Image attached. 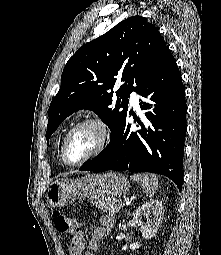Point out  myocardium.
Masks as SVG:
<instances>
[{
    "mask_svg": "<svg viewBox=\"0 0 221 255\" xmlns=\"http://www.w3.org/2000/svg\"><path fill=\"white\" fill-rule=\"evenodd\" d=\"M86 126H92L94 128L97 129L98 133H99V140H98V144L97 146L94 148V150L87 155L86 157H84L82 160L77 161V162H70L67 158V154H66V149H67V144L71 138V136L79 129L86 127ZM109 136H110V130L109 127L107 125V123L100 117L98 116H92V117H88L83 119L82 121L78 122L77 124H75L65 135L63 142H62V146H61V157H62V161L68 165V166H81L82 164L86 163L87 161L91 160L92 158L96 157L97 155H99L105 148V146L108 143L109 140Z\"/></svg>",
    "mask_w": 221,
    "mask_h": 255,
    "instance_id": "1",
    "label": "myocardium"
}]
</instances>
